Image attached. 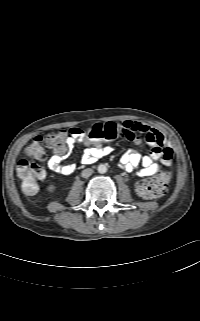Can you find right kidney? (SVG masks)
I'll return each instance as SVG.
<instances>
[{"mask_svg": "<svg viewBox=\"0 0 200 321\" xmlns=\"http://www.w3.org/2000/svg\"><path fill=\"white\" fill-rule=\"evenodd\" d=\"M54 189H55L54 185H50V186L48 187V191H49V192H53Z\"/></svg>", "mask_w": 200, "mask_h": 321, "instance_id": "obj_1", "label": "right kidney"}]
</instances>
